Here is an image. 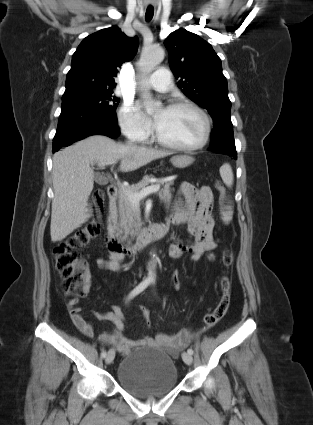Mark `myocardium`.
Listing matches in <instances>:
<instances>
[{"label":"myocardium","instance_id":"obj_1","mask_svg":"<svg viewBox=\"0 0 313 425\" xmlns=\"http://www.w3.org/2000/svg\"><path fill=\"white\" fill-rule=\"evenodd\" d=\"M181 108L193 110L194 112H196L201 117V119L203 121V126H204L203 135H202L201 140L197 144L192 145V146H181V145H176V144H173V143H170V142L163 140L158 135L157 132L154 133L153 139L160 146H163V147L171 149V150L186 152V153L198 151V150L202 149L203 147H205V145L208 143V141L210 139L211 120H210L208 114L200 106H198L197 104L190 102V101H178V102H174V103H172L168 106V109H181Z\"/></svg>","mask_w":313,"mask_h":425}]
</instances>
